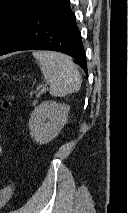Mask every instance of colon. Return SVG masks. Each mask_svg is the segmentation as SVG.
<instances>
[{"label": "colon", "mask_w": 128, "mask_h": 213, "mask_svg": "<svg viewBox=\"0 0 128 213\" xmlns=\"http://www.w3.org/2000/svg\"><path fill=\"white\" fill-rule=\"evenodd\" d=\"M13 80H17L18 76L17 75H11L10 76ZM11 104L10 100H6L3 102V107L8 108ZM13 192V184L9 182L7 186L4 188L0 189V208L9 200Z\"/></svg>", "instance_id": "5ec220e1"}]
</instances>
